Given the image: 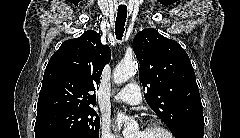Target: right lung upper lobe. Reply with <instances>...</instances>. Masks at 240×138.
I'll return each mask as SVG.
<instances>
[{
    "instance_id": "cb5924a9",
    "label": "right lung upper lobe",
    "mask_w": 240,
    "mask_h": 138,
    "mask_svg": "<svg viewBox=\"0 0 240 138\" xmlns=\"http://www.w3.org/2000/svg\"><path fill=\"white\" fill-rule=\"evenodd\" d=\"M111 52L93 30L62 43L51 56L43 76L37 115L67 108H91L95 90ZM94 92V94H93Z\"/></svg>"
}]
</instances>
